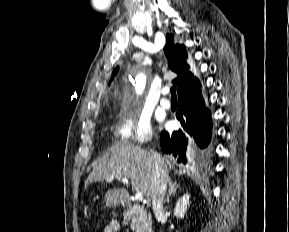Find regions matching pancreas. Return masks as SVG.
<instances>
[{"instance_id":"1","label":"pancreas","mask_w":289,"mask_h":232,"mask_svg":"<svg viewBox=\"0 0 289 232\" xmlns=\"http://www.w3.org/2000/svg\"><path fill=\"white\" fill-rule=\"evenodd\" d=\"M124 219L130 221V228L135 232H151V216L143 206H129L123 213Z\"/></svg>"}]
</instances>
